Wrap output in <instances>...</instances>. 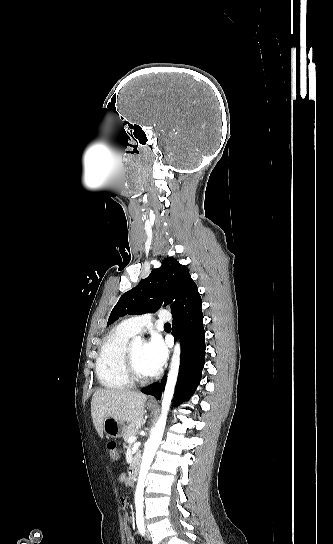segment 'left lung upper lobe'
Here are the masks:
<instances>
[{
  "mask_svg": "<svg viewBox=\"0 0 333 544\" xmlns=\"http://www.w3.org/2000/svg\"><path fill=\"white\" fill-rule=\"evenodd\" d=\"M199 299L201 297L189 269L175 258H166L160 268L153 269L146 279H142L136 287L120 297L107 325L126 314L154 313L163 301L165 304L171 303V312L174 314Z\"/></svg>",
  "mask_w": 333,
  "mask_h": 544,
  "instance_id": "obj_1",
  "label": "left lung upper lobe"
}]
</instances>
